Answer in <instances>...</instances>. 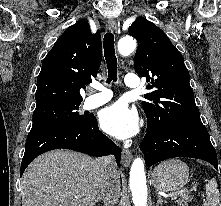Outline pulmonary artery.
Segmentation results:
<instances>
[{
    "label": "pulmonary artery",
    "instance_id": "e3ab8cb5",
    "mask_svg": "<svg viewBox=\"0 0 221 206\" xmlns=\"http://www.w3.org/2000/svg\"><path fill=\"white\" fill-rule=\"evenodd\" d=\"M124 83L127 87L138 88L140 86V79L135 74H127L124 77ZM94 88L98 90V93L89 96L85 102L86 107L89 109L105 104L112 97V93L108 87L102 84H96Z\"/></svg>",
    "mask_w": 221,
    "mask_h": 206
}]
</instances>
